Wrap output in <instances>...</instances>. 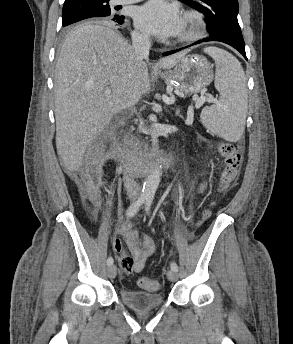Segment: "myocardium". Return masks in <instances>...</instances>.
Returning a JSON list of instances; mask_svg holds the SVG:
<instances>
[{
  "instance_id": "1",
  "label": "myocardium",
  "mask_w": 293,
  "mask_h": 344,
  "mask_svg": "<svg viewBox=\"0 0 293 344\" xmlns=\"http://www.w3.org/2000/svg\"><path fill=\"white\" fill-rule=\"evenodd\" d=\"M184 23L188 29L178 36L177 43H190L200 39L205 33V21L199 12L188 11L184 15Z\"/></svg>"
}]
</instances>
